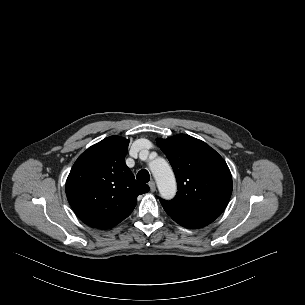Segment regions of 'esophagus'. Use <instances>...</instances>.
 <instances>
[{"instance_id":"esophagus-1","label":"esophagus","mask_w":305,"mask_h":305,"mask_svg":"<svg viewBox=\"0 0 305 305\" xmlns=\"http://www.w3.org/2000/svg\"><path fill=\"white\" fill-rule=\"evenodd\" d=\"M149 187H150V191H151V192H155V190H156V185H155V182H154V181H150V182H149Z\"/></svg>"}]
</instances>
